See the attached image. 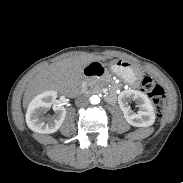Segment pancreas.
<instances>
[{
	"label": "pancreas",
	"mask_w": 183,
	"mask_h": 183,
	"mask_svg": "<svg viewBox=\"0 0 183 183\" xmlns=\"http://www.w3.org/2000/svg\"><path fill=\"white\" fill-rule=\"evenodd\" d=\"M97 82H98L97 80H92V81H90L89 85L91 87L96 86Z\"/></svg>",
	"instance_id": "cf45deb5"
}]
</instances>
